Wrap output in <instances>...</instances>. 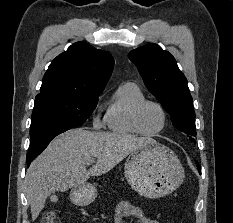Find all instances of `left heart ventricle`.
Wrapping results in <instances>:
<instances>
[{
	"label": "left heart ventricle",
	"instance_id": "b2bd125f",
	"mask_svg": "<svg viewBox=\"0 0 233 223\" xmlns=\"http://www.w3.org/2000/svg\"><path fill=\"white\" fill-rule=\"evenodd\" d=\"M164 116L162 111L155 105H147L141 116L143 128L149 133H156L164 127Z\"/></svg>",
	"mask_w": 233,
	"mask_h": 223
}]
</instances>
